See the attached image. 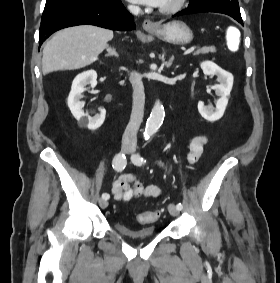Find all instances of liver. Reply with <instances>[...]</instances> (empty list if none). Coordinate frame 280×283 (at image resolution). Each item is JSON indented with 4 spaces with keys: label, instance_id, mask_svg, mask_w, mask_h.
<instances>
[{
    "label": "liver",
    "instance_id": "1",
    "mask_svg": "<svg viewBox=\"0 0 280 283\" xmlns=\"http://www.w3.org/2000/svg\"><path fill=\"white\" fill-rule=\"evenodd\" d=\"M113 39V31L92 25L57 32L43 49L42 71L73 70L90 65Z\"/></svg>",
    "mask_w": 280,
    "mask_h": 283
}]
</instances>
